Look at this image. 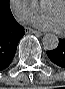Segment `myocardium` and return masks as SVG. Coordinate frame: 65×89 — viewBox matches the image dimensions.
<instances>
[{
  "instance_id": "1",
  "label": "myocardium",
  "mask_w": 65,
  "mask_h": 89,
  "mask_svg": "<svg viewBox=\"0 0 65 89\" xmlns=\"http://www.w3.org/2000/svg\"><path fill=\"white\" fill-rule=\"evenodd\" d=\"M54 3H61L65 7V1L64 0H54Z\"/></svg>"
}]
</instances>
